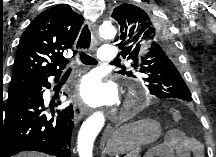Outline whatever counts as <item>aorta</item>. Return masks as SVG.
<instances>
[{"label": "aorta", "instance_id": "1", "mask_svg": "<svg viewBox=\"0 0 216 157\" xmlns=\"http://www.w3.org/2000/svg\"><path fill=\"white\" fill-rule=\"evenodd\" d=\"M99 34L103 39H113L116 35V29L111 22H105L99 27ZM104 123L105 117L102 112H95L83 122L78 135L79 157H92L95 138Z\"/></svg>", "mask_w": 216, "mask_h": 157}]
</instances>
